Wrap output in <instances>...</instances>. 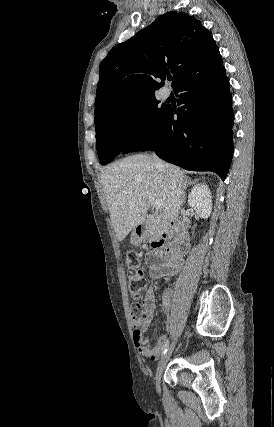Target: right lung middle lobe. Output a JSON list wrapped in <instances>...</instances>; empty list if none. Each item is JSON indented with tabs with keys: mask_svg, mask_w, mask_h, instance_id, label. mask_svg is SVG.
Segmentation results:
<instances>
[{
	"mask_svg": "<svg viewBox=\"0 0 274 427\" xmlns=\"http://www.w3.org/2000/svg\"><path fill=\"white\" fill-rule=\"evenodd\" d=\"M154 94L139 95L110 105L95 115L96 149L100 164L111 162L125 147L144 138L167 107Z\"/></svg>",
	"mask_w": 274,
	"mask_h": 427,
	"instance_id": "obj_1",
	"label": "right lung middle lobe"
}]
</instances>
